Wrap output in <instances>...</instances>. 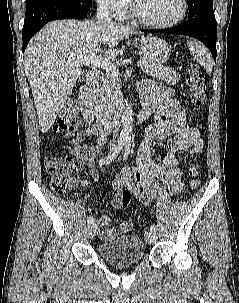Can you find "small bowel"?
<instances>
[{"instance_id": "obj_1", "label": "small bowel", "mask_w": 239, "mask_h": 303, "mask_svg": "<svg viewBox=\"0 0 239 303\" xmlns=\"http://www.w3.org/2000/svg\"><path fill=\"white\" fill-rule=\"evenodd\" d=\"M142 99L145 106L156 113V122L150 125L138 148L136 163L127 166L120 171L113 182L116 195L112 201L114 208H121L119 193L123 189L129 190L142 203L149 204L157 195L161 187L166 184L174 194H179L184 189L182 181L183 170L179 154L192 150L194 154L203 151V141L199 132L185 124L184 115L179 105L164 96L162 86L153 81L142 88ZM92 136L97 137V144H86L85 140ZM170 139L171 148L163 153L162 161L165 168L154 162L151 158V146L159 140ZM107 142V138L95 131L94 128H86L81 131L73 141L71 153L77 160L85 165L92 178L97 179L98 167L94 161L101 152V146ZM91 212L95 209L92 207ZM111 218L107 215L97 220L99 236L102 240L110 241L122 233L130 231L132 222L126 220L121 224L110 227Z\"/></svg>"}]
</instances>
